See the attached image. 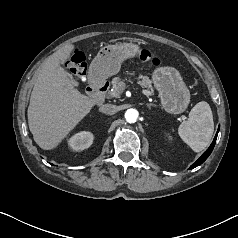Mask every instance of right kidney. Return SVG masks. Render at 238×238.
Segmentation results:
<instances>
[{
	"label": "right kidney",
	"mask_w": 238,
	"mask_h": 238,
	"mask_svg": "<svg viewBox=\"0 0 238 238\" xmlns=\"http://www.w3.org/2000/svg\"><path fill=\"white\" fill-rule=\"evenodd\" d=\"M93 134L88 131H82L75 135H73L68 140V145L73 149L74 151H82L88 147L91 146L93 143Z\"/></svg>",
	"instance_id": "ca27d5eb"
}]
</instances>
